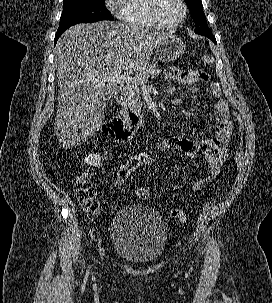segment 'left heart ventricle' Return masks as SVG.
Returning a JSON list of instances; mask_svg holds the SVG:
<instances>
[{
    "label": "left heart ventricle",
    "instance_id": "obj_1",
    "mask_svg": "<svg viewBox=\"0 0 272 303\" xmlns=\"http://www.w3.org/2000/svg\"><path fill=\"white\" fill-rule=\"evenodd\" d=\"M158 12L163 22L172 24L180 19L182 7L178 0H161Z\"/></svg>",
    "mask_w": 272,
    "mask_h": 303
}]
</instances>
